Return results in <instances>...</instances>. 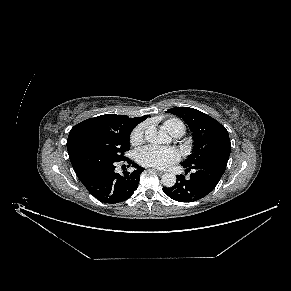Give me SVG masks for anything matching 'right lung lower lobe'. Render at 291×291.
I'll list each match as a JSON object with an SVG mask.
<instances>
[{"label": "right lung lower lobe", "mask_w": 291, "mask_h": 291, "mask_svg": "<svg viewBox=\"0 0 291 291\" xmlns=\"http://www.w3.org/2000/svg\"><path fill=\"white\" fill-rule=\"evenodd\" d=\"M73 169L86 189L99 201L119 203L127 200L137 189L140 174L144 168L133 164V172H115V165L120 161L100 152L83 149L69 155Z\"/></svg>", "instance_id": "98d812e1"}]
</instances>
